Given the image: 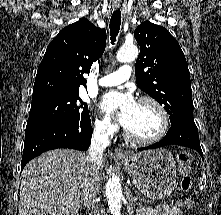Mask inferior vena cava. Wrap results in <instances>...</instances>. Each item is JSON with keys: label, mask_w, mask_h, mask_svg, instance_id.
Returning a JSON list of instances; mask_svg holds the SVG:
<instances>
[{"label": "inferior vena cava", "mask_w": 221, "mask_h": 215, "mask_svg": "<svg viewBox=\"0 0 221 215\" xmlns=\"http://www.w3.org/2000/svg\"><path fill=\"white\" fill-rule=\"evenodd\" d=\"M109 145L108 131L105 128H96L92 136L89 155L86 157L87 161L90 163L91 170L84 197V202L92 207L94 215L97 212L94 201L100 189L99 169L103 160L104 151Z\"/></svg>", "instance_id": "inferior-vena-cava-1"}]
</instances>
